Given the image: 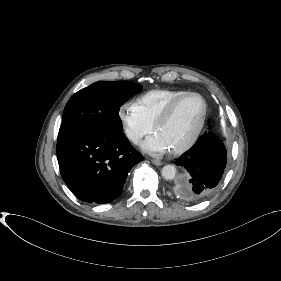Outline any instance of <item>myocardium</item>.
<instances>
[{
    "mask_svg": "<svg viewBox=\"0 0 281 281\" xmlns=\"http://www.w3.org/2000/svg\"><path fill=\"white\" fill-rule=\"evenodd\" d=\"M191 96L198 97L202 102L203 111H202L201 120H200V123H199L197 129L195 130L194 134L192 135V137L186 143L182 144L181 146L170 150V153H172V154H181V153L187 151L198 140L199 136L202 133V130L204 128L206 118H207L208 105H207L206 99L197 92H186L183 95L172 100L166 106V108L161 112V114L158 116L157 120L154 123V131L157 132V130L160 128V126L170 118V116L172 115L173 111L178 106V104L180 102H182L184 99L191 97Z\"/></svg>",
    "mask_w": 281,
    "mask_h": 281,
    "instance_id": "f54148a6",
    "label": "myocardium"
}]
</instances>
